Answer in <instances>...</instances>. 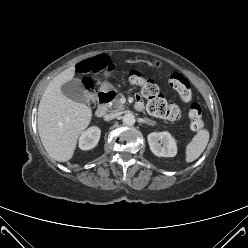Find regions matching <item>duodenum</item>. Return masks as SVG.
Segmentation results:
<instances>
[{"mask_svg":"<svg viewBox=\"0 0 248 248\" xmlns=\"http://www.w3.org/2000/svg\"><path fill=\"white\" fill-rule=\"evenodd\" d=\"M113 97L111 92H99L96 95V99L98 101V107L96 109V116L102 117L107 111L108 105Z\"/></svg>","mask_w":248,"mask_h":248,"instance_id":"410a0bca","label":"duodenum"}]
</instances>
